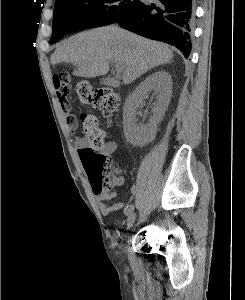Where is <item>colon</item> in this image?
Returning a JSON list of instances; mask_svg holds the SVG:
<instances>
[{
  "mask_svg": "<svg viewBox=\"0 0 245 300\" xmlns=\"http://www.w3.org/2000/svg\"><path fill=\"white\" fill-rule=\"evenodd\" d=\"M53 84L57 90H64L65 94L71 91V79L67 74L54 75ZM75 92L82 103L91 104L107 117L113 115L119 104L117 93L108 87L93 89L88 82L81 81L76 84ZM80 120L87 146L81 148L78 153L94 192L100 194L110 190L119 177L112 171L109 159L98 151L103 144L104 134L97 117L83 113Z\"/></svg>",
  "mask_w": 245,
  "mask_h": 300,
  "instance_id": "1",
  "label": "colon"
}]
</instances>
